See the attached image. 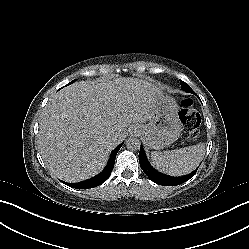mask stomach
I'll list each match as a JSON object with an SVG mask.
<instances>
[{"instance_id":"stomach-1","label":"stomach","mask_w":249,"mask_h":249,"mask_svg":"<svg viewBox=\"0 0 249 249\" xmlns=\"http://www.w3.org/2000/svg\"><path fill=\"white\" fill-rule=\"evenodd\" d=\"M153 104L152 118L143 126L142 138L148 148L159 150L176 140L181 126L176 115V102L171 96L158 92Z\"/></svg>"}]
</instances>
